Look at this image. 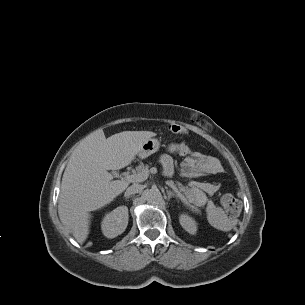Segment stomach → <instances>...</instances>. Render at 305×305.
Segmentation results:
<instances>
[{
	"label": "stomach",
	"mask_w": 305,
	"mask_h": 305,
	"mask_svg": "<svg viewBox=\"0 0 305 305\" xmlns=\"http://www.w3.org/2000/svg\"><path fill=\"white\" fill-rule=\"evenodd\" d=\"M159 147H160V142L158 139L149 138L143 142V144L141 145V147L137 153V156L140 159H145L148 156H150L151 154L157 152L159 150Z\"/></svg>",
	"instance_id": "1"
}]
</instances>
